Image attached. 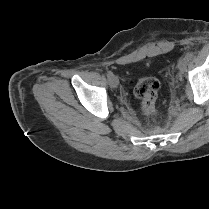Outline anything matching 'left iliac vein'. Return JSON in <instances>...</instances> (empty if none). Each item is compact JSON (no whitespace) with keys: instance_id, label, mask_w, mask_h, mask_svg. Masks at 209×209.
I'll return each instance as SVG.
<instances>
[{"instance_id":"4c4485c4","label":"left iliac vein","mask_w":209,"mask_h":209,"mask_svg":"<svg viewBox=\"0 0 209 209\" xmlns=\"http://www.w3.org/2000/svg\"><path fill=\"white\" fill-rule=\"evenodd\" d=\"M187 63L188 61L185 57L179 60L177 67L181 73L185 71Z\"/></svg>"}]
</instances>
